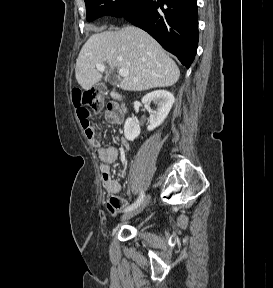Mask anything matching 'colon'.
Returning a JSON list of instances; mask_svg holds the SVG:
<instances>
[{"mask_svg":"<svg viewBox=\"0 0 273 288\" xmlns=\"http://www.w3.org/2000/svg\"><path fill=\"white\" fill-rule=\"evenodd\" d=\"M73 105L77 110V116L84 129L90 126L92 112H98L102 108V99L97 89L81 90L78 88L72 91Z\"/></svg>","mask_w":273,"mask_h":288,"instance_id":"obj_1","label":"colon"}]
</instances>
